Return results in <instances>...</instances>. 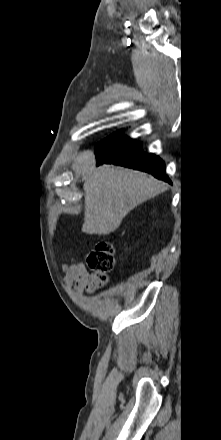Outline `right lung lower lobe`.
Instances as JSON below:
<instances>
[{
	"label": "right lung lower lobe",
	"mask_w": 221,
	"mask_h": 440,
	"mask_svg": "<svg viewBox=\"0 0 221 440\" xmlns=\"http://www.w3.org/2000/svg\"><path fill=\"white\" fill-rule=\"evenodd\" d=\"M94 151L97 166L114 164L129 167L147 172L158 179L171 183L165 173L164 162L158 156L144 152L142 145L124 136L123 131H116L97 143Z\"/></svg>",
	"instance_id": "obj_1"
}]
</instances>
